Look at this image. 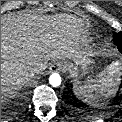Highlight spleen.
Listing matches in <instances>:
<instances>
[{
  "mask_svg": "<svg viewBox=\"0 0 122 122\" xmlns=\"http://www.w3.org/2000/svg\"><path fill=\"white\" fill-rule=\"evenodd\" d=\"M120 61H114L99 78L74 85L73 92L83 102L94 107H101L111 96L117 93L121 75Z\"/></svg>",
  "mask_w": 122,
  "mask_h": 122,
  "instance_id": "obj_1",
  "label": "spleen"
}]
</instances>
